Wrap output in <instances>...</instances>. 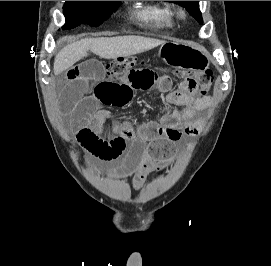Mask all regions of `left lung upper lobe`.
Here are the masks:
<instances>
[{
	"label": "left lung upper lobe",
	"mask_w": 271,
	"mask_h": 266,
	"mask_svg": "<svg viewBox=\"0 0 271 266\" xmlns=\"http://www.w3.org/2000/svg\"><path fill=\"white\" fill-rule=\"evenodd\" d=\"M178 3L181 6L185 7L186 10L192 15L200 24L203 23L202 15L199 10V1H170Z\"/></svg>",
	"instance_id": "5c2ea615"
}]
</instances>
